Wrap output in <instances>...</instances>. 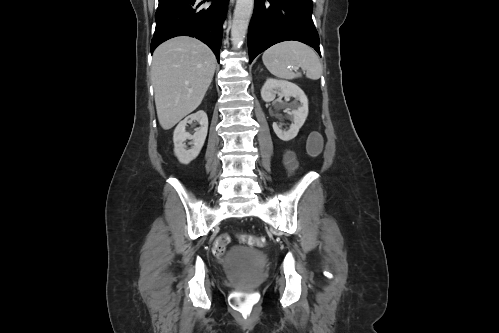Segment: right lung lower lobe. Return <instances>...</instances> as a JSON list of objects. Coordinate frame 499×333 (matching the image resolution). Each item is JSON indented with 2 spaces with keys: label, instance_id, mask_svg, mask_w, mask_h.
<instances>
[{
  "label": "right lung lower lobe",
  "instance_id": "1",
  "mask_svg": "<svg viewBox=\"0 0 499 333\" xmlns=\"http://www.w3.org/2000/svg\"><path fill=\"white\" fill-rule=\"evenodd\" d=\"M210 1V5H205ZM228 2L229 0H159L151 53L162 42L187 35L207 44L219 61L222 23Z\"/></svg>",
  "mask_w": 499,
  "mask_h": 333
}]
</instances>
